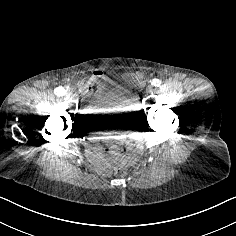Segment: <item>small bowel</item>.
I'll use <instances>...</instances> for the list:
<instances>
[{"label": "small bowel", "mask_w": 236, "mask_h": 236, "mask_svg": "<svg viewBox=\"0 0 236 236\" xmlns=\"http://www.w3.org/2000/svg\"><path fill=\"white\" fill-rule=\"evenodd\" d=\"M109 80L103 72L94 71L89 77L82 79L78 88L87 98H91L94 85L100 86V91L105 90V82ZM97 112V100L90 101L84 108V113L91 115ZM114 141L118 145L113 144ZM101 142H107L108 154H104ZM142 143L139 131L135 128L112 131L108 134L90 137L87 140V152L91 159L103 169H108L114 162L131 163L141 152Z\"/></svg>", "instance_id": "obj_1"}]
</instances>
